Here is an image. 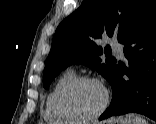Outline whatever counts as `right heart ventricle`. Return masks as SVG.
I'll list each match as a JSON object with an SVG mask.
<instances>
[{"label":"right heart ventricle","mask_w":156,"mask_h":124,"mask_svg":"<svg viewBox=\"0 0 156 124\" xmlns=\"http://www.w3.org/2000/svg\"><path fill=\"white\" fill-rule=\"evenodd\" d=\"M76 77V73L72 69L66 70L55 81L48 92L44 105V118L50 124H72L73 122L63 117L56 108V97L60 89L69 81Z\"/></svg>","instance_id":"obj_1"}]
</instances>
